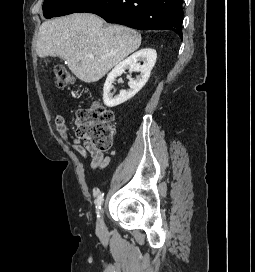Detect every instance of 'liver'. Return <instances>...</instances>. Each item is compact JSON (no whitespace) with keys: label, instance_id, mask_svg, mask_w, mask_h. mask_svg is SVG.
<instances>
[{"label":"liver","instance_id":"1","mask_svg":"<svg viewBox=\"0 0 255 272\" xmlns=\"http://www.w3.org/2000/svg\"><path fill=\"white\" fill-rule=\"evenodd\" d=\"M141 44V34L122 25H107L91 13H74L45 21L39 28L40 58L59 56L85 83L99 81Z\"/></svg>","mask_w":255,"mask_h":272}]
</instances>
